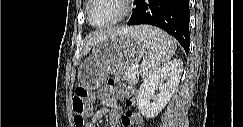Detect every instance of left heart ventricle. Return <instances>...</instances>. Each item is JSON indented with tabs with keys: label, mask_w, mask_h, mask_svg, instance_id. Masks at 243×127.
Wrapping results in <instances>:
<instances>
[{
	"label": "left heart ventricle",
	"mask_w": 243,
	"mask_h": 127,
	"mask_svg": "<svg viewBox=\"0 0 243 127\" xmlns=\"http://www.w3.org/2000/svg\"><path fill=\"white\" fill-rule=\"evenodd\" d=\"M121 12V5L117 0H94L90 7V19L95 24L111 21Z\"/></svg>",
	"instance_id": "obj_1"
}]
</instances>
